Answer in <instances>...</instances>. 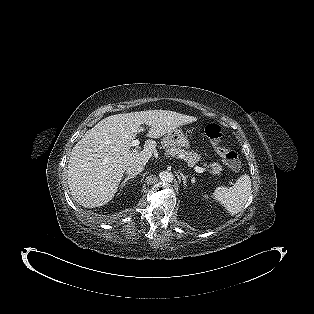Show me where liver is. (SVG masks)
I'll list each match as a JSON object with an SVG mask.
<instances>
[{
    "label": "liver",
    "instance_id": "1",
    "mask_svg": "<svg viewBox=\"0 0 314 314\" xmlns=\"http://www.w3.org/2000/svg\"><path fill=\"white\" fill-rule=\"evenodd\" d=\"M196 117L168 110H147L116 114L102 119L73 147L68 161V185L74 199L86 208L107 204L115 195L126 168L147 163L156 143L145 142L142 151L131 150L142 124L147 136L160 138Z\"/></svg>",
    "mask_w": 314,
    "mask_h": 314
}]
</instances>
